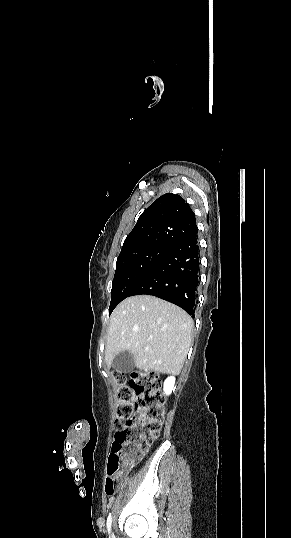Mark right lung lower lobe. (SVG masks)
Segmentation results:
<instances>
[{
    "label": "right lung lower lobe",
    "instance_id": "98d812e1",
    "mask_svg": "<svg viewBox=\"0 0 291 538\" xmlns=\"http://www.w3.org/2000/svg\"><path fill=\"white\" fill-rule=\"evenodd\" d=\"M197 234L170 250L145 275L130 296L147 294L174 303L194 315L199 284Z\"/></svg>",
    "mask_w": 291,
    "mask_h": 538
}]
</instances>
